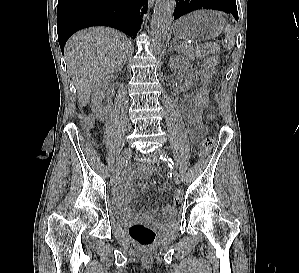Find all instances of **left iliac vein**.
I'll list each match as a JSON object with an SVG mask.
<instances>
[{
    "label": "left iliac vein",
    "instance_id": "left-iliac-vein-1",
    "mask_svg": "<svg viewBox=\"0 0 299 273\" xmlns=\"http://www.w3.org/2000/svg\"><path fill=\"white\" fill-rule=\"evenodd\" d=\"M165 154V151L162 149H157L156 151L153 152V155H163ZM173 173V179L175 181V183L180 184L181 183V176L179 175V173L176 170H172Z\"/></svg>",
    "mask_w": 299,
    "mask_h": 273
}]
</instances>
